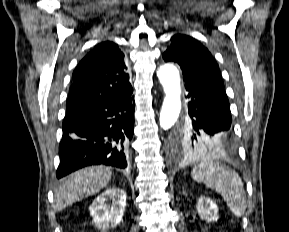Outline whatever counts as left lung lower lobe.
Segmentation results:
<instances>
[{
    "instance_id": "left-lung-lower-lobe-1",
    "label": "left lung lower lobe",
    "mask_w": 289,
    "mask_h": 232,
    "mask_svg": "<svg viewBox=\"0 0 289 232\" xmlns=\"http://www.w3.org/2000/svg\"><path fill=\"white\" fill-rule=\"evenodd\" d=\"M183 79L190 99V129L200 140L211 145L208 150L233 155L236 140L224 89L199 78L184 76Z\"/></svg>"
}]
</instances>
